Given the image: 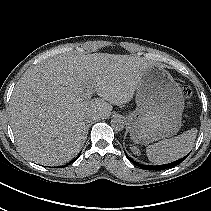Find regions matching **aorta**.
Segmentation results:
<instances>
[{
    "instance_id": "aorta-1",
    "label": "aorta",
    "mask_w": 211,
    "mask_h": 211,
    "mask_svg": "<svg viewBox=\"0 0 211 211\" xmlns=\"http://www.w3.org/2000/svg\"><path fill=\"white\" fill-rule=\"evenodd\" d=\"M111 126L116 131H121L125 127V122L121 117H115L111 120Z\"/></svg>"
}]
</instances>
